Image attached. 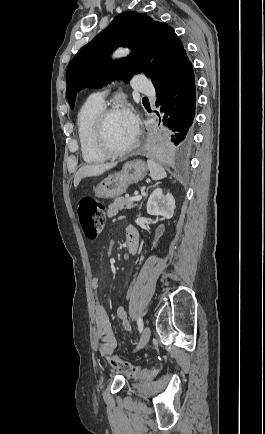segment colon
Here are the masks:
<instances>
[{
	"label": "colon",
	"mask_w": 265,
	"mask_h": 434,
	"mask_svg": "<svg viewBox=\"0 0 265 434\" xmlns=\"http://www.w3.org/2000/svg\"><path fill=\"white\" fill-rule=\"evenodd\" d=\"M76 211L83 236L89 241L95 240L99 236L105 221V211L103 206L92 197H88L76 203ZM106 360L113 365L114 369H120L128 374L132 373L139 376H147L151 379L160 373L158 369L147 371L145 369H139L137 364L131 366V360L122 362V358L119 355H116L115 357L109 356Z\"/></svg>",
	"instance_id": "5ec220e1"
}]
</instances>
